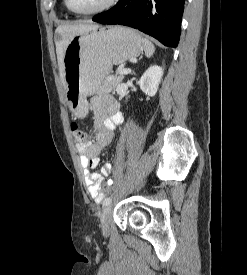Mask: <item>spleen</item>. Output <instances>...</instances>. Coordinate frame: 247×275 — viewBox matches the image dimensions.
<instances>
[{
    "label": "spleen",
    "instance_id": "obj_1",
    "mask_svg": "<svg viewBox=\"0 0 247 275\" xmlns=\"http://www.w3.org/2000/svg\"><path fill=\"white\" fill-rule=\"evenodd\" d=\"M143 49L145 51V55L150 58L155 52V46L146 38L142 39Z\"/></svg>",
    "mask_w": 247,
    "mask_h": 275
}]
</instances>
